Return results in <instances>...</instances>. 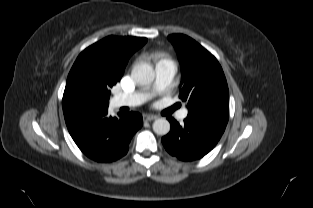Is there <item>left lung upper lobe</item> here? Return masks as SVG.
Here are the masks:
<instances>
[{"label":"left lung upper lobe","mask_w":313,"mask_h":208,"mask_svg":"<svg viewBox=\"0 0 313 208\" xmlns=\"http://www.w3.org/2000/svg\"><path fill=\"white\" fill-rule=\"evenodd\" d=\"M182 71L179 97L187 102L188 116L196 121L226 126L229 119V91L217 59L192 38L169 35Z\"/></svg>","instance_id":"5c2ea615"}]
</instances>
